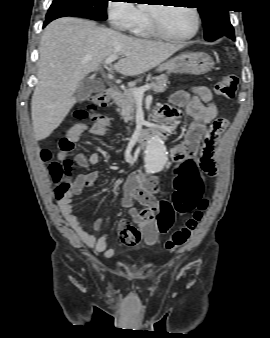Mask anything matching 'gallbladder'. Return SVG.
Wrapping results in <instances>:
<instances>
[{"label": "gallbladder", "instance_id": "bac80fb5", "mask_svg": "<svg viewBox=\"0 0 270 338\" xmlns=\"http://www.w3.org/2000/svg\"><path fill=\"white\" fill-rule=\"evenodd\" d=\"M104 90V85L96 80L84 79L80 82L75 95L79 101L86 100L92 93L101 92Z\"/></svg>", "mask_w": 270, "mask_h": 338}]
</instances>
